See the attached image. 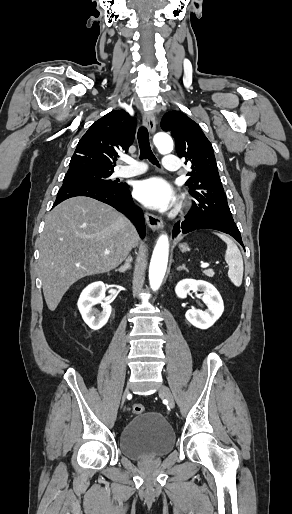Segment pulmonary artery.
Returning a JSON list of instances; mask_svg holds the SVG:
<instances>
[{
  "mask_svg": "<svg viewBox=\"0 0 292 514\" xmlns=\"http://www.w3.org/2000/svg\"><path fill=\"white\" fill-rule=\"evenodd\" d=\"M132 163L134 164V169L136 171L120 169L118 171V175L120 177H130V176H135V175L139 174L140 173L139 171H141L143 169V164L140 162V160L138 158H134L132 160ZM180 168H181V165L179 164V158L177 156H166L163 159L162 169L165 172H178Z\"/></svg>",
  "mask_w": 292,
  "mask_h": 514,
  "instance_id": "1",
  "label": "pulmonary artery"
}]
</instances>
